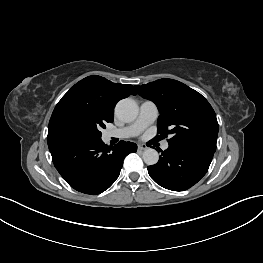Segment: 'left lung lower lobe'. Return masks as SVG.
Segmentation results:
<instances>
[{"label":"left lung lower lobe","instance_id":"left-lung-lower-lobe-1","mask_svg":"<svg viewBox=\"0 0 263 263\" xmlns=\"http://www.w3.org/2000/svg\"><path fill=\"white\" fill-rule=\"evenodd\" d=\"M213 155L209 150L169 144L158 163L148 167V173L160 186L184 191L206 174Z\"/></svg>","mask_w":263,"mask_h":263}]
</instances>
